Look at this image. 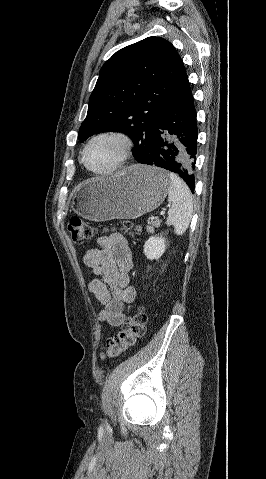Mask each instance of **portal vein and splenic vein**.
Instances as JSON below:
<instances>
[{
  "label": "portal vein and splenic vein",
  "instance_id": "1",
  "mask_svg": "<svg viewBox=\"0 0 266 479\" xmlns=\"http://www.w3.org/2000/svg\"><path fill=\"white\" fill-rule=\"evenodd\" d=\"M160 215H161V216H164V215H165V211H161V212H160Z\"/></svg>",
  "mask_w": 266,
  "mask_h": 479
}]
</instances>
